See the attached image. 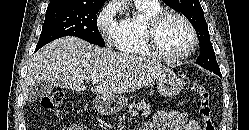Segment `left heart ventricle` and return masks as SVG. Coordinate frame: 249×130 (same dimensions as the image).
I'll list each match as a JSON object with an SVG mask.
<instances>
[{"label": "left heart ventricle", "mask_w": 249, "mask_h": 130, "mask_svg": "<svg viewBox=\"0 0 249 130\" xmlns=\"http://www.w3.org/2000/svg\"><path fill=\"white\" fill-rule=\"evenodd\" d=\"M158 41L165 53L179 56L188 49L191 38L187 27L181 20L169 17L159 28Z\"/></svg>", "instance_id": "obj_1"}]
</instances>
